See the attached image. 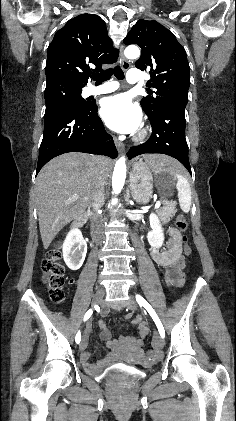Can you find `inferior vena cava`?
Listing matches in <instances>:
<instances>
[{
	"mask_svg": "<svg viewBox=\"0 0 236 421\" xmlns=\"http://www.w3.org/2000/svg\"><path fill=\"white\" fill-rule=\"evenodd\" d=\"M96 180L92 192L90 213H91V229L93 231V239H96L97 243H100L102 239V217L98 211H101V206L104 204V184L103 176L100 172V168L96 166L92 170Z\"/></svg>",
	"mask_w": 236,
	"mask_h": 421,
	"instance_id": "obj_1",
	"label": "inferior vena cava"
}]
</instances>
